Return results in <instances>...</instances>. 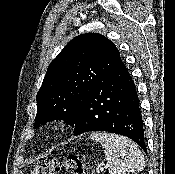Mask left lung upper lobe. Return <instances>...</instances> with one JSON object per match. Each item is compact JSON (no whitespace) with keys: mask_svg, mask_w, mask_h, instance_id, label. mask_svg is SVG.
Listing matches in <instances>:
<instances>
[{"mask_svg":"<svg viewBox=\"0 0 175 174\" xmlns=\"http://www.w3.org/2000/svg\"><path fill=\"white\" fill-rule=\"evenodd\" d=\"M120 60L114 43L100 34H83L72 40L48 67L36 97L35 128L55 119L73 125L84 95Z\"/></svg>","mask_w":175,"mask_h":174,"instance_id":"left-lung-upper-lobe-1","label":"left lung upper lobe"}]
</instances>
